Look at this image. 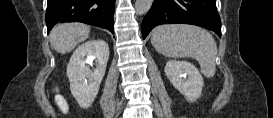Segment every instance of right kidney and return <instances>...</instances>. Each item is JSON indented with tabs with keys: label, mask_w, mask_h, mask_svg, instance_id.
<instances>
[{
	"label": "right kidney",
	"mask_w": 273,
	"mask_h": 118,
	"mask_svg": "<svg viewBox=\"0 0 273 118\" xmlns=\"http://www.w3.org/2000/svg\"><path fill=\"white\" fill-rule=\"evenodd\" d=\"M109 59V47L103 40H92L78 46L67 66V76L74 98L82 108L93 103L104 77ZM96 61L92 71L86 63Z\"/></svg>",
	"instance_id": "ca27d5eb"
}]
</instances>
